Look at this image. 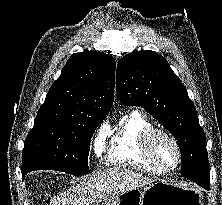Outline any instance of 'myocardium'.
<instances>
[{"instance_id": "myocardium-1", "label": "myocardium", "mask_w": 222, "mask_h": 205, "mask_svg": "<svg viewBox=\"0 0 222 205\" xmlns=\"http://www.w3.org/2000/svg\"><path fill=\"white\" fill-rule=\"evenodd\" d=\"M156 135H161L165 137L174 145L176 149V153H177V158H176L175 164L172 167L166 168L162 166L161 164H159L158 161L155 159L152 149H151V141ZM141 149L146 160L161 173H170L176 170L181 163L182 150H181L180 144L177 141V139L165 129L152 127L148 129L147 131H145L141 137Z\"/></svg>"}]
</instances>
